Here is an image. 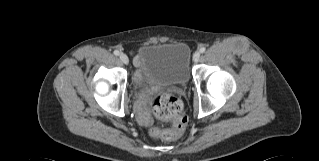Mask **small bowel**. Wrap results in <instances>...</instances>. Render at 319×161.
Listing matches in <instances>:
<instances>
[{"mask_svg":"<svg viewBox=\"0 0 319 161\" xmlns=\"http://www.w3.org/2000/svg\"><path fill=\"white\" fill-rule=\"evenodd\" d=\"M135 76H136V80L137 81H139L141 79L139 71L136 72Z\"/></svg>","mask_w":319,"mask_h":161,"instance_id":"obj_1","label":"small bowel"}]
</instances>
